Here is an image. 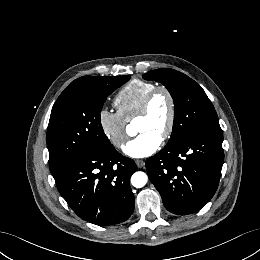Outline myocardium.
Wrapping results in <instances>:
<instances>
[{
    "label": "myocardium",
    "instance_id": "f54148a6",
    "mask_svg": "<svg viewBox=\"0 0 260 260\" xmlns=\"http://www.w3.org/2000/svg\"><path fill=\"white\" fill-rule=\"evenodd\" d=\"M163 93L167 96L170 104V111H169V119L167 126L161 136L162 141L168 140L174 131L175 128V122H176V115H177V107H176V100L173 95V93L165 86H156L151 91H149L144 99L142 100V103L140 105V108L136 114V118L145 117L148 115L151 103L155 96L158 94Z\"/></svg>",
    "mask_w": 260,
    "mask_h": 260
}]
</instances>
